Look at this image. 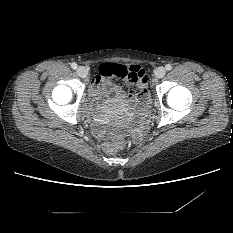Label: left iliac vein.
<instances>
[{"instance_id": "left-iliac-vein-1", "label": "left iliac vein", "mask_w": 233, "mask_h": 233, "mask_svg": "<svg viewBox=\"0 0 233 233\" xmlns=\"http://www.w3.org/2000/svg\"><path fill=\"white\" fill-rule=\"evenodd\" d=\"M165 74H166V70L164 67L161 66L156 69L155 75L157 78H162L164 77Z\"/></svg>"}]
</instances>
